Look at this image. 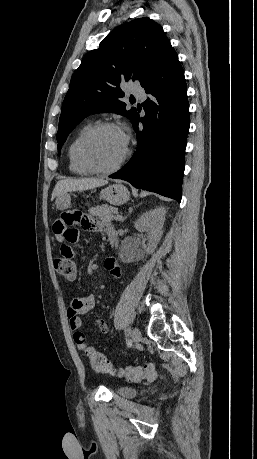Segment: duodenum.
<instances>
[{"instance_id":"410a0bca","label":"duodenum","mask_w":257,"mask_h":459,"mask_svg":"<svg viewBox=\"0 0 257 459\" xmlns=\"http://www.w3.org/2000/svg\"><path fill=\"white\" fill-rule=\"evenodd\" d=\"M107 236L111 242L116 240V233L114 231H108Z\"/></svg>"}]
</instances>
